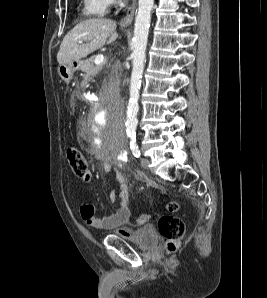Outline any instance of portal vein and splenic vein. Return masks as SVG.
<instances>
[{
  "label": "portal vein and splenic vein",
  "mask_w": 267,
  "mask_h": 298,
  "mask_svg": "<svg viewBox=\"0 0 267 298\" xmlns=\"http://www.w3.org/2000/svg\"><path fill=\"white\" fill-rule=\"evenodd\" d=\"M79 43H83V41L82 40H79ZM104 62V56L103 55H98V56H96V58H95V60H94V63L96 64V65H100V64H102Z\"/></svg>",
  "instance_id": "portal-vein-and-splenic-vein-1"
}]
</instances>
